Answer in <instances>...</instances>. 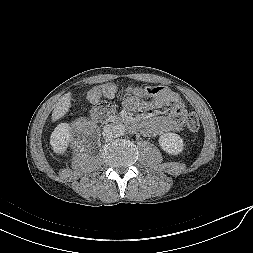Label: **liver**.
<instances>
[{"mask_svg":"<svg viewBox=\"0 0 253 253\" xmlns=\"http://www.w3.org/2000/svg\"><path fill=\"white\" fill-rule=\"evenodd\" d=\"M71 106V93H66L63 95L56 103L54 110L52 112V122L63 117L66 112H68Z\"/></svg>","mask_w":253,"mask_h":253,"instance_id":"obj_1","label":"liver"}]
</instances>
